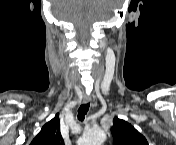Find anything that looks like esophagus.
Segmentation results:
<instances>
[{
    "label": "esophagus",
    "mask_w": 176,
    "mask_h": 145,
    "mask_svg": "<svg viewBox=\"0 0 176 145\" xmlns=\"http://www.w3.org/2000/svg\"><path fill=\"white\" fill-rule=\"evenodd\" d=\"M90 100H91V97H90V96H84V97H83V102H84V103H88V102H90Z\"/></svg>",
    "instance_id": "34e87169"
}]
</instances>
